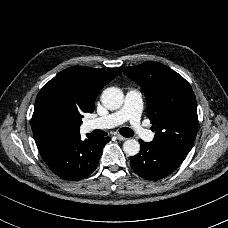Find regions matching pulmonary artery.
I'll return each instance as SVG.
<instances>
[{
    "instance_id": "obj_1",
    "label": "pulmonary artery",
    "mask_w": 228,
    "mask_h": 228,
    "mask_svg": "<svg viewBox=\"0 0 228 228\" xmlns=\"http://www.w3.org/2000/svg\"><path fill=\"white\" fill-rule=\"evenodd\" d=\"M141 109V97L136 93H131L126 97L125 105L121 110L103 117L87 120L84 122V128L86 131L114 128L122 124L125 121V117L128 124L133 127V132L136 136H140L142 141H152L154 134L150 130H145L144 125L141 123Z\"/></svg>"
}]
</instances>
